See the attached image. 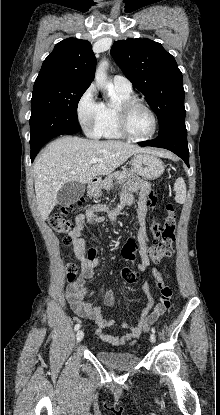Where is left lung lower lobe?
I'll use <instances>...</instances> for the list:
<instances>
[{
    "mask_svg": "<svg viewBox=\"0 0 220 415\" xmlns=\"http://www.w3.org/2000/svg\"><path fill=\"white\" fill-rule=\"evenodd\" d=\"M141 146L165 148L184 160L189 167V150L185 120L173 123L162 134L153 140L139 142Z\"/></svg>",
    "mask_w": 220,
    "mask_h": 415,
    "instance_id": "left-lung-lower-lobe-1",
    "label": "left lung lower lobe"
}]
</instances>
